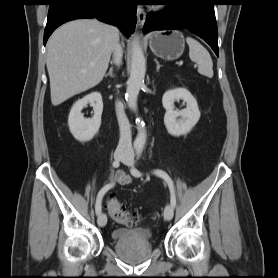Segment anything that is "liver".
I'll use <instances>...</instances> for the list:
<instances>
[{"label": "liver", "instance_id": "1", "mask_svg": "<svg viewBox=\"0 0 278 278\" xmlns=\"http://www.w3.org/2000/svg\"><path fill=\"white\" fill-rule=\"evenodd\" d=\"M118 42V30L96 19H77L56 29L47 43L46 60L52 104L99 84Z\"/></svg>", "mask_w": 278, "mask_h": 278}]
</instances>
